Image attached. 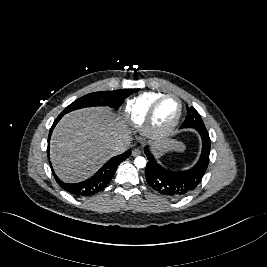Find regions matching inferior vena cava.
Instances as JSON below:
<instances>
[{"instance_id": "inferior-vena-cava-1", "label": "inferior vena cava", "mask_w": 267, "mask_h": 267, "mask_svg": "<svg viewBox=\"0 0 267 267\" xmlns=\"http://www.w3.org/2000/svg\"><path fill=\"white\" fill-rule=\"evenodd\" d=\"M129 144L128 143H118L113 147V152L114 154H121L124 151H126V149L128 148Z\"/></svg>"}]
</instances>
